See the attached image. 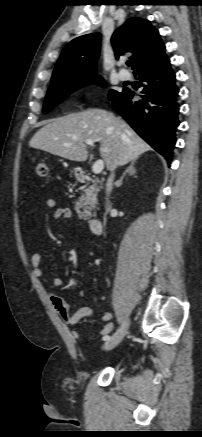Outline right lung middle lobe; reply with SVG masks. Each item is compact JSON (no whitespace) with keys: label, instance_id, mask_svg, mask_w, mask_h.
Masks as SVG:
<instances>
[{"label":"right lung middle lobe","instance_id":"obj_1","mask_svg":"<svg viewBox=\"0 0 202 437\" xmlns=\"http://www.w3.org/2000/svg\"><path fill=\"white\" fill-rule=\"evenodd\" d=\"M94 82H97L104 87L107 85L106 82L98 75L80 76L66 81L51 84L45 98L43 113L46 114L49 111H51L55 106L60 104L67 96H69L73 91L83 86L92 84ZM118 93L120 92H117L115 90H110L109 98L115 96Z\"/></svg>","mask_w":202,"mask_h":437}]
</instances>
